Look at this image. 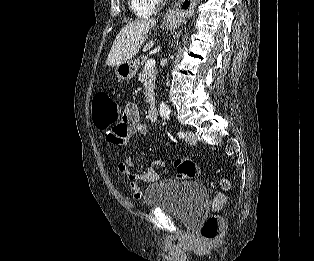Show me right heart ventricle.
<instances>
[{"label": "right heart ventricle", "instance_id": "e07e8e85", "mask_svg": "<svg viewBox=\"0 0 314 261\" xmlns=\"http://www.w3.org/2000/svg\"><path fill=\"white\" fill-rule=\"evenodd\" d=\"M129 5L137 17H149L156 10L153 0H129Z\"/></svg>", "mask_w": 314, "mask_h": 261}]
</instances>
